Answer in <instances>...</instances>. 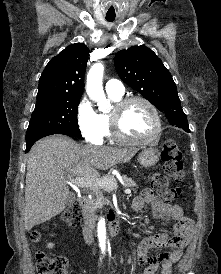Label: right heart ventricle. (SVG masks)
<instances>
[{
  "label": "right heart ventricle",
  "instance_id": "obj_1",
  "mask_svg": "<svg viewBox=\"0 0 221 274\" xmlns=\"http://www.w3.org/2000/svg\"><path fill=\"white\" fill-rule=\"evenodd\" d=\"M108 95H109V98L113 102H118L119 100L122 99V96L113 95V94H108ZM99 115H100L101 120H102L103 125H104V136L111 137L112 133H111V127H110L109 114L102 113V114H99Z\"/></svg>",
  "mask_w": 221,
  "mask_h": 274
}]
</instances>
